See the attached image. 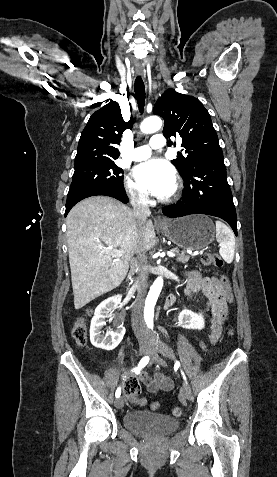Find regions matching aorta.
<instances>
[{"label":"aorta","instance_id":"obj_1","mask_svg":"<svg viewBox=\"0 0 277 477\" xmlns=\"http://www.w3.org/2000/svg\"><path fill=\"white\" fill-rule=\"evenodd\" d=\"M162 127V121L159 117L152 116L145 119L141 125L142 133H154ZM163 287V278L158 277L150 288L144 306V319L149 327L153 326L154 308Z\"/></svg>","mask_w":277,"mask_h":477}]
</instances>
